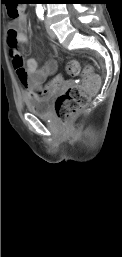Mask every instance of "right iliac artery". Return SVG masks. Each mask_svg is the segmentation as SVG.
<instances>
[{
    "mask_svg": "<svg viewBox=\"0 0 122 257\" xmlns=\"http://www.w3.org/2000/svg\"><path fill=\"white\" fill-rule=\"evenodd\" d=\"M37 16L39 17V19H42V20H43V12H38V13H37Z\"/></svg>",
    "mask_w": 122,
    "mask_h": 257,
    "instance_id": "obj_1",
    "label": "right iliac artery"
}]
</instances>
